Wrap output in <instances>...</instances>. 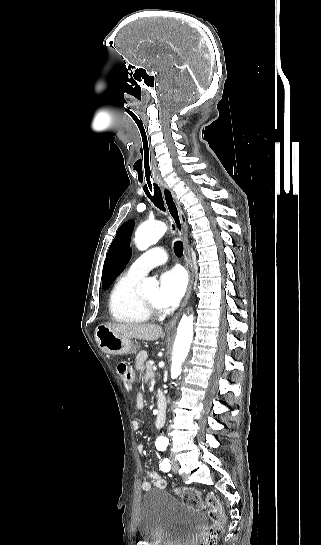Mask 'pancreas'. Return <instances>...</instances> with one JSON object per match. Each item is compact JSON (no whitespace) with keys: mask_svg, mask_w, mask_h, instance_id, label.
<instances>
[{"mask_svg":"<svg viewBox=\"0 0 321 545\" xmlns=\"http://www.w3.org/2000/svg\"><path fill=\"white\" fill-rule=\"evenodd\" d=\"M144 379L145 383H148V381L154 379V365L152 361H148V363H146V373Z\"/></svg>","mask_w":321,"mask_h":545,"instance_id":"1","label":"pancreas"}]
</instances>
